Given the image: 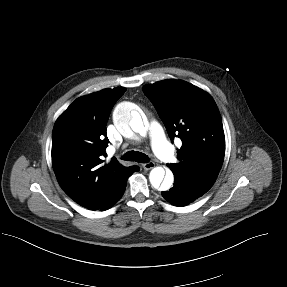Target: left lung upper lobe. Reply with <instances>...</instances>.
<instances>
[{
    "instance_id": "obj_1",
    "label": "left lung upper lobe",
    "mask_w": 287,
    "mask_h": 287,
    "mask_svg": "<svg viewBox=\"0 0 287 287\" xmlns=\"http://www.w3.org/2000/svg\"><path fill=\"white\" fill-rule=\"evenodd\" d=\"M162 119L171 141L182 140L178 162L167 164L207 192L214 184L225 154L222 119L213 98L204 90L180 80H164L143 87Z\"/></svg>"
}]
</instances>
